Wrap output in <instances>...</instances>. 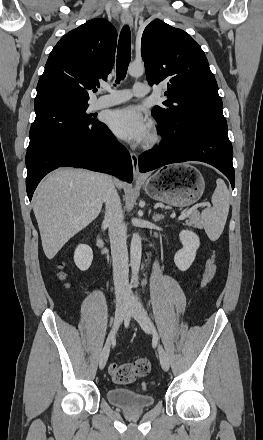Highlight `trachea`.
<instances>
[{
    "mask_svg": "<svg viewBox=\"0 0 263 440\" xmlns=\"http://www.w3.org/2000/svg\"><path fill=\"white\" fill-rule=\"evenodd\" d=\"M131 33L128 25H125L120 33L118 49H117V61H116V73L117 80L124 79L127 73V68L131 60V45H130Z\"/></svg>",
    "mask_w": 263,
    "mask_h": 440,
    "instance_id": "3493384b",
    "label": "trachea"
}]
</instances>
